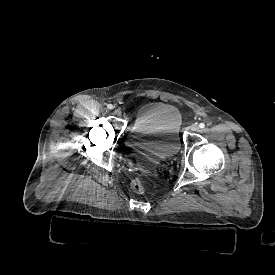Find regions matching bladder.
<instances>
[{
  "instance_id": "31cf9c89",
  "label": "bladder",
  "mask_w": 275,
  "mask_h": 275,
  "mask_svg": "<svg viewBox=\"0 0 275 275\" xmlns=\"http://www.w3.org/2000/svg\"><path fill=\"white\" fill-rule=\"evenodd\" d=\"M180 125V113L172 105L155 102L138 108L130 140L137 153L135 164L139 171L152 172L159 160L174 157L179 153Z\"/></svg>"
}]
</instances>
